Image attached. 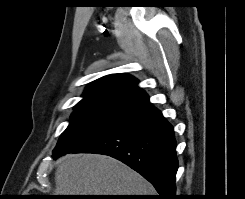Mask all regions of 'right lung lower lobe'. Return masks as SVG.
<instances>
[{
    "instance_id": "right-lung-lower-lobe-1",
    "label": "right lung lower lobe",
    "mask_w": 245,
    "mask_h": 199,
    "mask_svg": "<svg viewBox=\"0 0 245 199\" xmlns=\"http://www.w3.org/2000/svg\"><path fill=\"white\" fill-rule=\"evenodd\" d=\"M71 153L116 158L152 183L159 193L157 199H177L174 130L155 107L127 116L107 133Z\"/></svg>"
}]
</instances>
